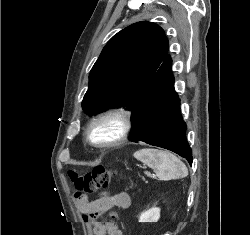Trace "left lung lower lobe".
<instances>
[{
	"label": "left lung lower lobe",
	"mask_w": 250,
	"mask_h": 235,
	"mask_svg": "<svg viewBox=\"0 0 250 235\" xmlns=\"http://www.w3.org/2000/svg\"><path fill=\"white\" fill-rule=\"evenodd\" d=\"M171 62L169 56L136 103L131 117L134 127L130 140L173 151L186 158L191 165L192 150L186 139V125L174 89Z\"/></svg>",
	"instance_id": "obj_1"
}]
</instances>
